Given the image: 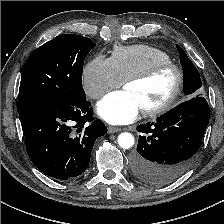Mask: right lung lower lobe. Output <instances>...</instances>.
I'll list each match as a JSON object with an SVG mask.
<instances>
[{
    "label": "right lung lower lobe",
    "mask_w": 224,
    "mask_h": 224,
    "mask_svg": "<svg viewBox=\"0 0 224 224\" xmlns=\"http://www.w3.org/2000/svg\"><path fill=\"white\" fill-rule=\"evenodd\" d=\"M90 105L45 100L19 112L28 156L46 175L67 180L88 167L95 140L107 133L103 122L93 121Z\"/></svg>",
    "instance_id": "1"
}]
</instances>
